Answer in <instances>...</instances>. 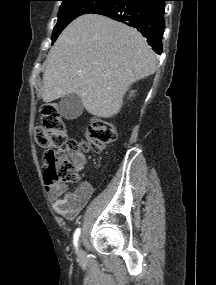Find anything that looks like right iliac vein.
<instances>
[{
  "mask_svg": "<svg viewBox=\"0 0 216 285\" xmlns=\"http://www.w3.org/2000/svg\"><path fill=\"white\" fill-rule=\"evenodd\" d=\"M79 255H82V251H81V249L79 250Z\"/></svg>",
  "mask_w": 216,
  "mask_h": 285,
  "instance_id": "1",
  "label": "right iliac vein"
}]
</instances>
